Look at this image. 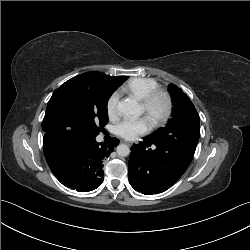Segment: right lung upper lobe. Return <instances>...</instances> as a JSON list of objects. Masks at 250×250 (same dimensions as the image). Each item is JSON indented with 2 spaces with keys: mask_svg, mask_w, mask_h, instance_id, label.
<instances>
[{
  "mask_svg": "<svg viewBox=\"0 0 250 250\" xmlns=\"http://www.w3.org/2000/svg\"><path fill=\"white\" fill-rule=\"evenodd\" d=\"M115 77H117L119 79H122V78H124L126 76H115ZM43 140H51V138H49L48 136H44Z\"/></svg>",
  "mask_w": 250,
  "mask_h": 250,
  "instance_id": "obj_1",
  "label": "right lung upper lobe"
}]
</instances>
